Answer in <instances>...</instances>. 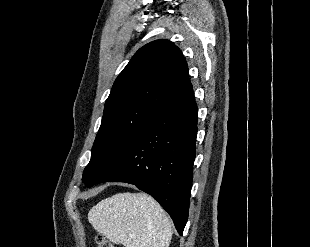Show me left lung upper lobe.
<instances>
[{
    "mask_svg": "<svg viewBox=\"0 0 310 247\" xmlns=\"http://www.w3.org/2000/svg\"><path fill=\"white\" fill-rule=\"evenodd\" d=\"M192 89L186 60L169 40L144 45L119 74L105 102L101 126L82 181L95 185L143 132Z\"/></svg>",
    "mask_w": 310,
    "mask_h": 247,
    "instance_id": "left-lung-upper-lobe-1",
    "label": "left lung upper lobe"
}]
</instances>
